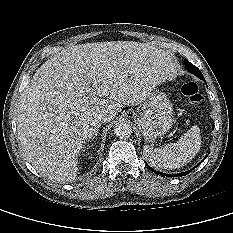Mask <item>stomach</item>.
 Instances as JSON below:
<instances>
[{"label":"stomach","mask_w":233,"mask_h":233,"mask_svg":"<svg viewBox=\"0 0 233 233\" xmlns=\"http://www.w3.org/2000/svg\"><path fill=\"white\" fill-rule=\"evenodd\" d=\"M134 117L145 140L152 142L170 130L174 122L173 105L165 93L156 90L149 94L142 112Z\"/></svg>","instance_id":"1"}]
</instances>
